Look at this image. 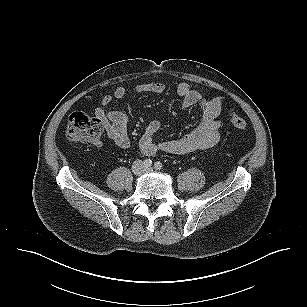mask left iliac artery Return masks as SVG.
<instances>
[{
  "label": "left iliac artery",
  "mask_w": 307,
  "mask_h": 307,
  "mask_svg": "<svg viewBox=\"0 0 307 307\" xmlns=\"http://www.w3.org/2000/svg\"><path fill=\"white\" fill-rule=\"evenodd\" d=\"M154 167L156 170H161L163 165L160 161L155 162Z\"/></svg>",
  "instance_id": "1"
}]
</instances>
